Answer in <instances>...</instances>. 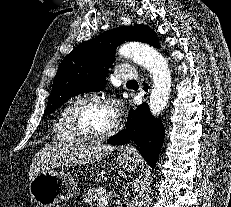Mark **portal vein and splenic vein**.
<instances>
[{"mask_svg":"<svg viewBox=\"0 0 231 207\" xmlns=\"http://www.w3.org/2000/svg\"><path fill=\"white\" fill-rule=\"evenodd\" d=\"M108 205V202L107 201H102L98 204L99 207H105Z\"/></svg>","mask_w":231,"mask_h":207,"instance_id":"18ae733b","label":"portal vein and splenic vein"}]
</instances>
